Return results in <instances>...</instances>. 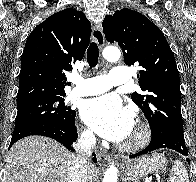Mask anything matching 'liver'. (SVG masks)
Masks as SVG:
<instances>
[{
    "label": "liver",
    "mask_w": 196,
    "mask_h": 182,
    "mask_svg": "<svg viewBox=\"0 0 196 182\" xmlns=\"http://www.w3.org/2000/svg\"><path fill=\"white\" fill-rule=\"evenodd\" d=\"M63 145L43 136H29L16 142L8 152L5 182H68L73 158ZM97 167L88 164V182H93Z\"/></svg>",
    "instance_id": "1"
}]
</instances>
